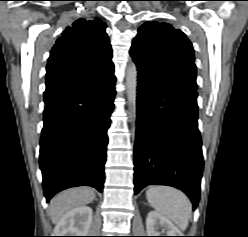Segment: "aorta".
Returning a JSON list of instances; mask_svg holds the SVG:
<instances>
[{
	"label": "aorta",
	"mask_w": 248,
	"mask_h": 237,
	"mask_svg": "<svg viewBox=\"0 0 248 237\" xmlns=\"http://www.w3.org/2000/svg\"><path fill=\"white\" fill-rule=\"evenodd\" d=\"M126 93L130 109V117L136 119V99H137V68L131 63L126 70Z\"/></svg>",
	"instance_id": "1"
}]
</instances>
